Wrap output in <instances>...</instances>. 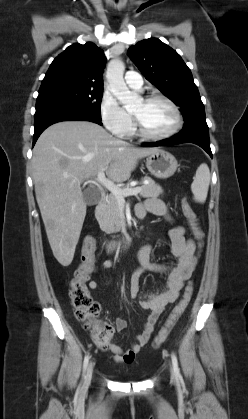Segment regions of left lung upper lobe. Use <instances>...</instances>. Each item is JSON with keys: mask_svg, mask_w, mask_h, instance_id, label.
Instances as JSON below:
<instances>
[{"mask_svg": "<svg viewBox=\"0 0 248 419\" xmlns=\"http://www.w3.org/2000/svg\"><path fill=\"white\" fill-rule=\"evenodd\" d=\"M128 55L142 74L181 108L188 127L206 121L204 105L190 69L180 55L157 38L138 42Z\"/></svg>", "mask_w": 248, "mask_h": 419, "instance_id": "5c2ea615", "label": "left lung upper lobe"}]
</instances>
